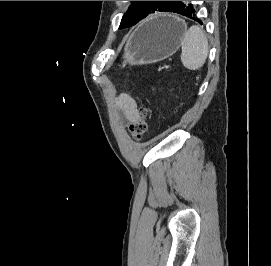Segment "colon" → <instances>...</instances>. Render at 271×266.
<instances>
[{
    "instance_id": "obj_1",
    "label": "colon",
    "mask_w": 271,
    "mask_h": 266,
    "mask_svg": "<svg viewBox=\"0 0 271 266\" xmlns=\"http://www.w3.org/2000/svg\"><path fill=\"white\" fill-rule=\"evenodd\" d=\"M147 109L141 105L139 109V116L128 125V129L132 137L140 140L148 130Z\"/></svg>"
}]
</instances>
